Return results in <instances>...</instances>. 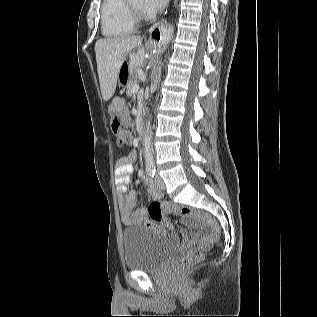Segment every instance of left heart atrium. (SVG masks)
<instances>
[{
    "label": "left heart atrium",
    "instance_id": "obj_1",
    "mask_svg": "<svg viewBox=\"0 0 317 317\" xmlns=\"http://www.w3.org/2000/svg\"><path fill=\"white\" fill-rule=\"evenodd\" d=\"M166 2L167 0H144L143 10L147 16H152L160 11Z\"/></svg>",
    "mask_w": 317,
    "mask_h": 317
}]
</instances>
